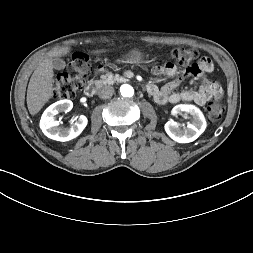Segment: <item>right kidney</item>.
<instances>
[{
	"mask_svg": "<svg viewBox=\"0 0 253 253\" xmlns=\"http://www.w3.org/2000/svg\"><path fill=\"white\" fill-rule=\"evenodd\" d=\"M72 107V101L65 99L53 103L44 111L40 120V128L48 138L65 142L81 134L88 123L86 116L81 115L74 125L68 128L59 127V122L54 120L57 114L60 112H68Z\"/></svg>",
	"mask_w": 253,
	"mask_h": 253,
	"instance_id": "right-kidney-1",
	"label": "right kidney"
}]
</instances>
